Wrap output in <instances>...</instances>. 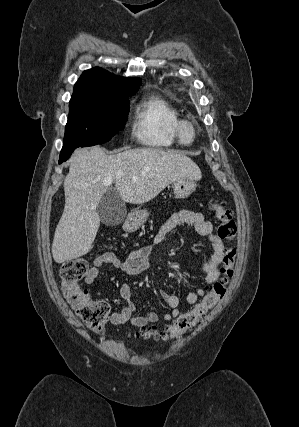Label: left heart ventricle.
<instances>
[{
  "label": "left heart ventricle",
  "instance_id": "left-heart-ventricle-1",
  "mask_svg": "<svg viewBox=\"0 0 299 427\" xmlns=\"http://www.w3.org/2000/svg\"><path fill=\"white\" fill-rule=\"evenodd\" d=\"M183 133H184L185 138L189 139L191 137V131L189 128H185Z\"/></svg>",
  "mask_w": 299,
  "mask_h": 427
}]
</instances>
